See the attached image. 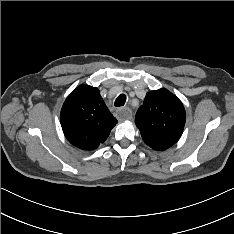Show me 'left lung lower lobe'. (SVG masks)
I'll return each mask as SVG.
<instances>
[{"label":"left lung lower lobe","instance_id":"0a47b994","mask_svg":"<svg viewBox=\"0 0 234 234\" xmlns=\"http://www.w3.org/2000/svg\"><path fill=\"white\" fill-rule=\"evenodd\" d=\"M174 143L169 142V141H159L156 144L152 145V148L154 150H159V151H164L171 147Z\"/></svg>","mask_w":234,"mask_h":234}]
</instances>
